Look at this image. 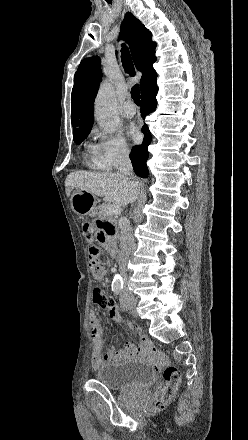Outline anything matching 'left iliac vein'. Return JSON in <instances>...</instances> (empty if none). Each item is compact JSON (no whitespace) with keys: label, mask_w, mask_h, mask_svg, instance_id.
<instances>
[{"label":"left iliac vein","mask_w":248,"mask_h":440,"mask_svg":"<svg viewBox=\"0 0 248 440\" xmlns=\"http://www.w3.org/2000/svg\"><path fill=\"white\" fill-rule=\"evenodd\" d=\"M121 303H122V308H123L124 310H127L128 307L125 305L124 299L121 300Z\"/></svg>","instance_id":"1"}]
</instances>
